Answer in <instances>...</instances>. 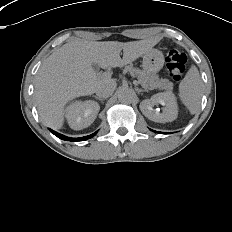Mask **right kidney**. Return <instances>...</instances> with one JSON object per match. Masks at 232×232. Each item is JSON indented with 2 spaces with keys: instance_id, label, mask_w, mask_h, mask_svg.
I'll use <instances>...</instances> for the list:
<instances>
[{
  "instance_id": "ca27d5eb",
  "label": "right kidney",
  "mask_w": 232,
  "mask_h": 232,
  "mask_svg": "<svg viewBox=\"0 0 232 232\" xmlns=\"http://www.w3.org/2000/svg\"><path fill=\"white\" fill-rule=\"evenodd\" d=\"M99 110L100 106L95 101H75L66 107L65 117L72 129L81 130L94 122Z\"/></svg>"
}]
</instances>
